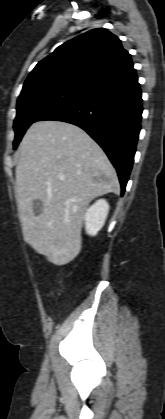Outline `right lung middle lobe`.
<instances>
[{
  "label": "right lung middle lobe",
  "instance_id": "right-lung-middle-lobe-1",
  "mask_svg": "<svg viewBox=\"0 0 165 419\" xmlns=\"http://www.w3.org/2000/svg\"><path fill=\"white\" fill-rule=\"evenodd\" d=\"M86 94V91L80 89L54 86L33 90L19 96L17 115L14 120L15 140L13 148H17L25 131L33 122L38 121L49 111Z\"/></svg>",
  "mask_w": 165,
  "mask_h": 419
}]
</instances>
